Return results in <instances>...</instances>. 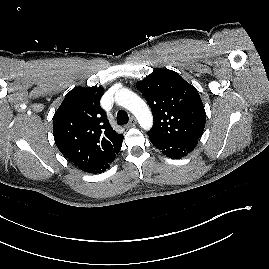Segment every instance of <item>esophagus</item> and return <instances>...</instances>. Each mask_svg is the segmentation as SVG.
Here are the masks:
<instances>
[{
    "mask_svg": "<svg viewBox=\"0 0 269 269\" xmlns=\"http://www.w3.org/2000/svg\"><path fill=\"white\" fill-rule=\"evenodd\" d=\"M137 123L136 119L134 117H131L129 123L126 125L127 128L135 126Z\"/></svg>",
    "mask_w": 269,
    "mask_h": 269,
    "instance_id": "esophagus-1",
    "label": "esophagus"
}]
</instances>
